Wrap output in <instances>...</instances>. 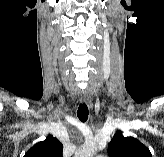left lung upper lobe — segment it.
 I'll return each mask as SVG.
<instances>
[{
	"mask_svg": "<svg viewBox=\"0 0 164 157\" xmlns=\"http://www.w3.org/2000/svg\"><path fill=\"white\" fill-rule=\"evenodd\" d=\"M109 157H152L149 149L133 137H123L117 131L108 146Z\"/></svg>",
	"mask_w": 164,
	"mask_h": 157,
	"instance_id": "5c2ea615",
	"label": "left lung upper lobe"
}]
</instances>
